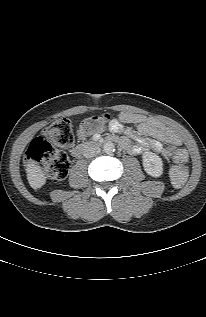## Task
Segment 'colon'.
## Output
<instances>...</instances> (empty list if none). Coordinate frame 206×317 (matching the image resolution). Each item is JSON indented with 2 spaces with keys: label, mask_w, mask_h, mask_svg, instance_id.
Masks as SVG:
<instances>
[{
  "label": "colon",
  "mask_w": 206,
  "mask_h": 317,
  "mask_svg": "<svg viewBox=\"0 0 206 317\" xmlns=\"http://www.w3.org/2000/svg\"><path fill=\"white\" fill-rule=\"evenodd\" d=\"M109 122V115L99 114L86 118L79 127V133L83 136L102 132ZM74 142L73 128L70 120L63 118L57 120L41 135L32 140L26 152L28 161L37 163L44 174L55 180L67 177L70 170V161L67 155L58 147H69ZM188 156L185 150L176 152L175 165L171 169V180L175 186L185 183L188 176L186 167Z\"/></svg>",
  "instance_id": "obj_1"
}]
</instances>
